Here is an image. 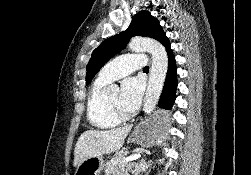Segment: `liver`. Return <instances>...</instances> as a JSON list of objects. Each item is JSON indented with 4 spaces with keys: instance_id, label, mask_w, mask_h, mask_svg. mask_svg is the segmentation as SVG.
<instances>
[{
    "instance_id": "6515ba94",
    "label": "liver",
    "mask_w": 251,
    "mask_h": 175,
    "mask_svg": "<svg viewBox=\"0 0 251 175\" xmlns=\"http://www.w3.org/2000/svg\"><path fill=\"white\" fill-rule=\"evenodd\" d=\"M131 127L132 125H124V127H116V129H106V131L87 129L76 141L73 165L78 167L84 159L92 157V155L117 151L124 145Z\"/></svg>"
}]
</instances>
